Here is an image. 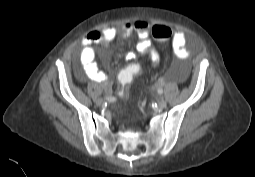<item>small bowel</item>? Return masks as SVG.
<instances>
[{
  "label": "small bowel",
  "mask_w": 255,
  "mask_h": 177,
  "mask_svg": "<svg viewBox=\"0 0 255 177\" xmlns=\"http://www.w3.org/2000/svg\"><path fill=\"white\" fill-rule=\"evenodd\" d=\"M132 33H135L138 37L136 46L138 52L143 55H148L153 65H157L160 61V57L159 54L151 48L149 24L139 20L134 23H126L122 26L120 31L121 37L126 38ZM118 34L119 32L116 28L107 27L101 32H91L83 39L81 42L80 68L76 69V73L80 79L87 77L98 83L108 82V75L99 69L95 61L94 45L100 44L106 47ZM185 43V33L181 30H176L172 38V47L175 55L181 60H185L189 57V52L185 48ZM135 57L136 55L134 52H128L125 55V59L128 61L134 60ZM106 89L109 90V86H107Z\"/></svg>",
  "instance_id": "1"
}]
</instances>
